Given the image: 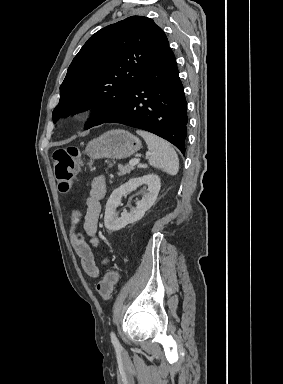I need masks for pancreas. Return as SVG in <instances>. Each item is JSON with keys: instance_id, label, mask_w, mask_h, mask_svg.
<instances>
[{"instance_id": "1", "label": "pancreas", "mask_w": 283, "mask_h": 384, "mask_svg": "<svg viewBox=\"0 0 283 384\" xmlns=\"http://www.w3.org/2000/svg\"><path fill=\"white\" fill-rule=\"evenodd\" d=\"M118 176H124V174H130L131 170H134L133 166H118Z\"/></svg>"}]
</instances>
